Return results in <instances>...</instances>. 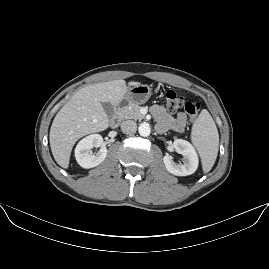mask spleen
Returning <instances> with one entry per match:
<instances>
[{
    "mask_svg": "<svg viewBox=\"0 0 269 269\" xmlns=\"http://www.w3.org/2000/svg\"><path fill=\"white\" fill-rule=\"evenodd\" d=\"M192 139L201 155L204 171H210L217 157L219 135L207 110H203L197 118L193 126Z\"/></svg>",
    "mask_w": 269,
    "mask_h": 269,
    "instance_id": "spleen-1",
    "label": "spleen"
}]
</instances>
